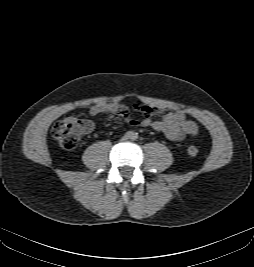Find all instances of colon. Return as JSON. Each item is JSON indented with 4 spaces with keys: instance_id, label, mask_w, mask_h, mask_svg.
I'll list each match as a JSON object with an SVG mask.
<instances>
[{
    "instance_id": "colon-1",
    "label": "colon",
    "mask_w": 254,
    "mask_h": 267,
    "mask_svg": "<svg viewBox=\"0 0 254 267\" xmlns=\"http://www.w3.org/2000/svg\"><path fill=\"white\" fill-rule=\"evenodd\" d=\"M91 129L92 122L90 120L67 117L54 123L51 133L63 148L71 150L78 145L81 137ZM187 153L195 157L198 154V148L190 145L187 148Z\"/></svg>"
}]
</instances>
